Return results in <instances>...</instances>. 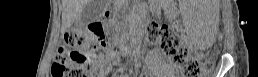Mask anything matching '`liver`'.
<instances>
[{"label": "liver", "mask_w": 258, "mask_h": 77, "mask_svg": "<svg viewBox=\"0 0 258 77\" xmlns=\"http://www.w3.org/2000/svg\"><path fill=\"white\" fill-rule=\"evenodd\" d=\"M90 0H62V27L68 29Z\"/></svg>", "instance_id": "obj_1"}]
</instances>
